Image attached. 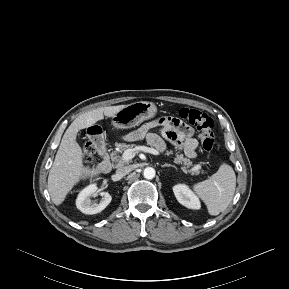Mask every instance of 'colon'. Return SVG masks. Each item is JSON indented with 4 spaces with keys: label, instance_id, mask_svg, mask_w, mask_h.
I'll return each mask as SVG.
<instances>
[{
    "label": "colon",
    "instance_id": "obj_1",
    "mask_svg": "<svg viewBox=\"0 0 289 289\" xmlns=\"http://www.w3.org/2000/svg\"><path fill=\"white\" fill-rule=\"evenodd\" d=\"M179 117L191 125L195 126L199 132L201 146L206 152H211L215 146V137L213 133V120L204 112L193 108H182L179 111ZM83 160L90 162L95 153L94 146L87 142L82 147Z\"/></svg>",
    "mask_w": 289,
    "mask_h": 289
}]
</instances>
